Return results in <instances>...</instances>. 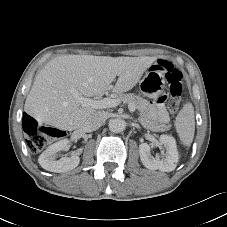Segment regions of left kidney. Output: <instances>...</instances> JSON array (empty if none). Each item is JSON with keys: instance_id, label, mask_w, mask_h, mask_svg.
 Listing matches in <instances>:
<instances>
[{"instance_id": "5707ae66", "label": "left kidney", "mask_w": 227, "mask_h": 227, "mask_svg": "<svg viewBox=\"0 0 227 227\" xmlns=\"http://www.w3.org/2000/svg\"><path fill=\"white\" fill-rule=\"evenodd\" d=\"M159 142L166 148L165 157L162 159L153 157L150 152V145L148 143H142L139 145L141 162L150 170L173 171L179 160L176 141L172 136L163 134L160 136Z\"/></svg>"}]
</instances>
